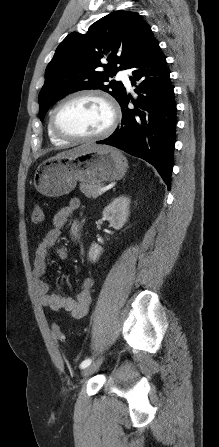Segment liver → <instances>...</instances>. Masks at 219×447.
Masks as SVG:
<instances>
[{
  "label": "liver",
  "instance_id": "6515ba94",
  "mask_svg": "<svg viewBox=\"0 0 219 447\" xmlns=\"http://www.w3.org/2000/svg\"><path fill=\"white\" fill-rule=\"evenodd\" d=\"M91 147H92V145H90V144L81 145L79 147L58 153L55 157H57V158L74 157V156H77V155L89 150Z\"/></svg>",
  "mask_w": 219,
  "mask_h": 447
}]
</instances>
